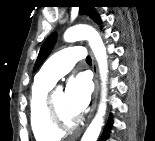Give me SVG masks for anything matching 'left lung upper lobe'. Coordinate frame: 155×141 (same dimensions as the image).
Segmentation results:
<instances>
[{
  "instance_id": "left-lung-upper-lobe-1",
  "label": "left lung upper lobe",
  "mask_w": 155,
  "mask_h": 141,
  "mask_svg": "<svg viewBox=\"0 0 155 141\" xmlns=\"http://www.w3.org/2000/svg\"><path fill=\"white\" fill-rule=\"evenodd\" d=\"M83 8V13L90 15V17L94 18L96 21L100 22L99 16H97L95 14V12L93 11V7L92 6H82ZM56 41V34L53 33L51 34L43 43L38 58L36 60V63L34 65V71L38 69V67L42 64V62L45 60V58L47 57V55L49 54V52L51 51L54 43Z\"/></svg>"
}]
</instances>
